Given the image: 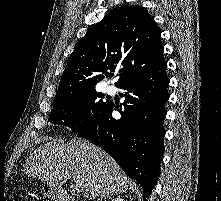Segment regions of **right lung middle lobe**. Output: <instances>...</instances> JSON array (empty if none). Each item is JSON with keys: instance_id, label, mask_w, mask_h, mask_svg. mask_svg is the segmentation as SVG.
Masks as SVG:
<instances>
[{"instance_id": "1", "label": "right lung middle lobe", "mask_w": 221, "mask_h": 201, "mask_svg": "<svg viewBox=\"0 0 221 201\" xmlns=\"http://www.w3.org/2000/svg\"><path fill=\"white\" fill-rule=\"evenodd\" d=\"M102 97L95 89L55 97L48 121L79 132L94 124L111 104L110 100L99 99Z\"/></svg>"}]
</instances>
